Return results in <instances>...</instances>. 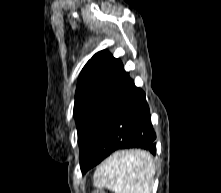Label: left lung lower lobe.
<instances>
[{
    "mask_svg": "<svg viewBox=\"0 0 221 193\" xmlns=\"http://www.w3.org/2000/svg\"><path fill=\"white\" fill-rule=\"evenodd\" d=\"M155 139L145 93L126 74L110 109L109 125L83 170L121 149L142 148L155 155Z\"/></svg>",
    "mask_w": 221,
    "mask_h": 193,
    "instance_id": "left-lung-lower-lobe-1",
    "label": "left lung lower lobe"
}]
</instances>
